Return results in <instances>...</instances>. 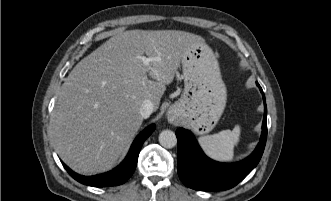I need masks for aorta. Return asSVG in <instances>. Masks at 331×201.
<instances>
[{"label":"aorta","mask_w":331,"mask_h":201,"mask_svg":"<svg viewBox=\"0 0 331 201\" xmlns=\"http://www.w3.org/2000/svg\"><path fill=\"white\" fill-rule=\"evenodd\" d=\"M159 143L165 148H173L177 144L175 133L171 130H163L159 134Z\"/></svg>","instance_id":"obj_1"}]
</instances>
